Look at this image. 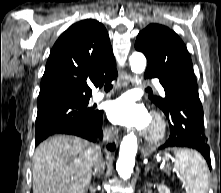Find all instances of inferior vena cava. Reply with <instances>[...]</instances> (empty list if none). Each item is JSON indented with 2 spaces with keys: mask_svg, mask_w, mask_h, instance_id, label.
Masks as SVG:
<instances>
[{
  "mask_svg": "<svg viewBox=\"0 0 221 193\" xmlns=\"http://www.w3.org/2000/svg\"><path fill=\"white\" fill-rule=\"evenodd\" d=\"M116 134L115 131H110V132H106L104 134V141H109L112 137V135ZM105 168V163L103 162L102 158L99 159L96 162L95 168H94V175L97 174L98 176H100L103 173V170Z\"/></svg>",
  "mask_w": 221,
  "mask_h": 193,
  "instance_id": "inferior-vena-cava-1",
  "label": "inferior vena cava"
}]
</instances>
